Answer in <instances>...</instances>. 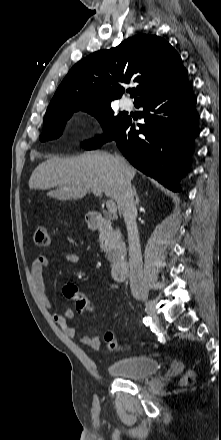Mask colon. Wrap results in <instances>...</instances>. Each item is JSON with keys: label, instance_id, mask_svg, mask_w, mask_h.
<instances>
[{"label": "colon", "instance_id": "obj_1", "mask_svg": "<svg viewBox=\"0 0 221 440\" xmlns=\"http://www.w3.org/2000/svg\"><path fill=\"white\" fill-rule=\"evenodd\" d=\"M34 242L36 245L41 247H48L50 244V238L48 235L47 228L44 225H39L36 227L34 232ZM63 293L68 300H71L75 304V308L79 312L83 311H93L95 306L78 290V288L71 282H68L63 287ZM105 342L108 349L110 350H120L121 345L115 338L111 331H108L104 335ZM195 379V374L193 371H188L182 379L183 385L193 384Z\"/></svg>", "mask_w": 221, "mask_h": 440}]
</instances>
